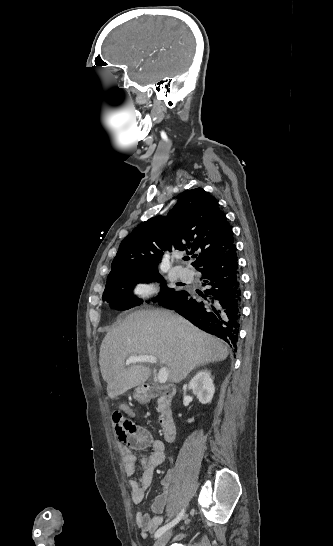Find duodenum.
Returning a JSON list of instances; mask_svg holds the SVG:
<instances>
[{"instance_id":"obj_1","label":"duodenum","mask_w":333,"mask_h":546,"mask_svg":"<svg viewBox=\"0 0 333 546\" xmlns=\"http://www.w3.org/2000/svg\"><path fill=\"white\" fill-rule=\"evenodd\" d=\"M176 389L173 386H150L144 385L142 388V395L145 399L161 398L162 410L159 415V422L161 424L162 436L165 441L172 442L176 436V426L171 411V403L175 396Z\"/></svg>"}]
</instances>
